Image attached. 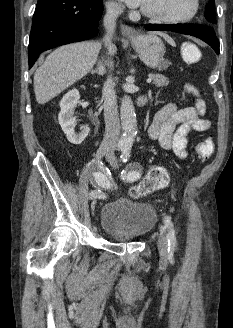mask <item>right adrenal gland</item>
<instances>
[{"label": "right adrenal gland", "mask_w": 233, "mask_h": 328, "mask_svg": "<svg viewBox=\"0 0 233 328\" xmlns=\"http://www.w3.org/2000/svg\"><path fill=\"white\" fill-rule=\"evenodd\" d=\"M94 73L98 74L99 76H103L105 74V65L103 64V61L98 60L97 69L91 71V74Z\"/></svg>", "instance_id": "right-adrenal-gland-1"}]
</instances>
